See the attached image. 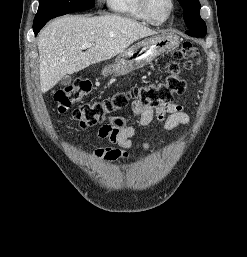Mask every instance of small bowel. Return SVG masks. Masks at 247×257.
Returning <instances> with one entry per match:
<instances>
[{
	"mask_svg": "<svg viewBox=\"0 0 247 257\" xmlns=\"http://www.w3.org/2000/svg\"><path fill=\"white\" fill-rule=\"evenodd\" d=\"M132 111L138 116L139 125L142 127L148 126L154 118L162 122L166 130L185 125L189 121L188 115L183 111L182 106L174 102L162 103L153 108L134 101L132 103ZM134 134L135 128L126 125L122 117H111L108 124L100 127L98 137L108 139L113 146L95 148L93 151L94 157L104 163L122 161L128 156L127 150L134 147L148 149L152 146L149 143L134 144L131 140Z\"/></svg>",
	"mask_w": 247,
	"mask_h": 257,
	"instance_id": "obj_1",
	"label": "small bowel"
}]
</instances>
